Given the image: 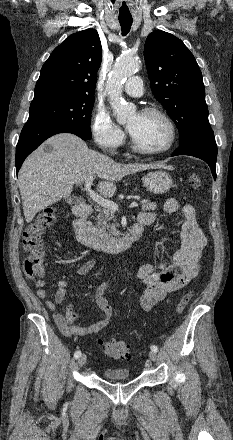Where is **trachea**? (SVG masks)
Listing matches in <instances>:
<instances>
[{
	"label": "trachea",
	"mask_w": 233,
	"mask_h": 440,
	"mask_svg": "<svg viewBox=\"0 0 233 440\" xmlns=\"http://www.w3.org/2000/svg\"><path fill=\"white\" fill-rule=\"evenodd\" d=\"M120 25H121V30H122V35L125 36L129 33L130 28L132 26V22L133 20L128 18V19H119Z\"/></svg>",
	"instance_id": "1"
}]
</instances>
